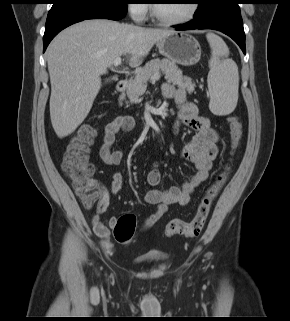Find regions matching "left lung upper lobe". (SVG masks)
Wrapping results in <instances>:
<instances>
[{
  "label": "left lung upper lobe",
  "instance_id": "left-lung-upper-lobe-1",
  "mask_svg": "<svg viewBox=\"0 0 290 321\" xmlns=\"http://www.w3.org/2000/svg\"><path fill=\"white\" fill-rule=\"evenodd\" d=\"M198 8L195 12V15L201 14L208 10L210 7L214 6L220 0H196Z\"/></svg>",
  "mask_w": 290,
  "mask_h": 321
}]
</instances>
